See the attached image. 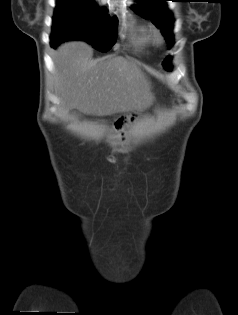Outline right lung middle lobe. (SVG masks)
<instances>
[{
    "instance_id": "1",
    "label": "right lung middle lobe",
    "mask_w": 238,
    "mask_h": 315,
    "mask_svg": "<svg viewBox=\"0 0 238 315\" xmlns=\"http://www.w3.org/2000/svg\"><path fill=\"white\" fill-rule=\"evenodd\" d=\"M94 3L80 0H58L53 17L51 46L66 40H84L95 49L106 52L117 38V18Z\"/></svg>"
}]
</instances>
